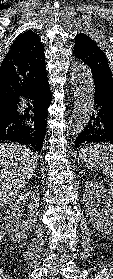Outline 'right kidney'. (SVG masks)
<instances>
[{"label":"right kidney","mask_w":113,"mask_h":279,"mask_svg":"<svg viewBox=\"0 0 113 279\" xmlns=\"http://www.w3.org/2000/svg\"><path fill=\"white\" fill-rule=\"evenodd\" d=\"M39 192L35 188L25 190L8 206L4 216L5 231L14 242H22L27 239L38 217ZM30 200L27 207V218L21 219L23 213L22 203Z\"/></svg>","instance_id":"right-kidney-1"}]
</instances>
